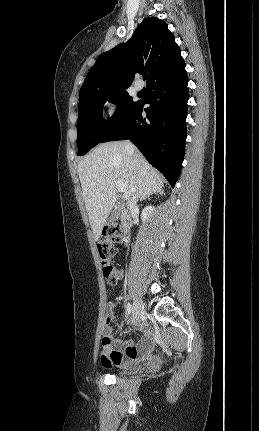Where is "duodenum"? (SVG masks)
<instances>
[{"mask_svg":"<svg viewBox=\"0 0 259 431\" xmlns=\"http://www.w3.org/2000/svg\"><path fill=\"white\" fill-rule=\"evenodd\" d=\"M132 225V219L129 212L126 209L121 210V226L125 233H127Z\"/></svg>","mask_w":259,"mask_h":431,"instance_id":"obj_1","label":"duodenum"}]
</instances>
